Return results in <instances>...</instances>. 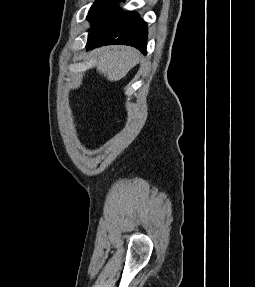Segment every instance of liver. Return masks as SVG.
<instances>
[{
  "instance_id": "obj_1",
  "label": "liver",
  "mask_w": 255,
  "mask_h": 287,
  "mask_svg": "<svg viewBox=\"0 0 255 287\" xmlns=\"http://www.w3.org/2000/svg\"><path fill=\"white\" fill-rule=\"evenodd\" d=\"M89 56H95L99 74L107 76L110 82H118L133 66H136L140 54L128 46H110V48L94 50Z\"/></svg>"
}]
</instances>
